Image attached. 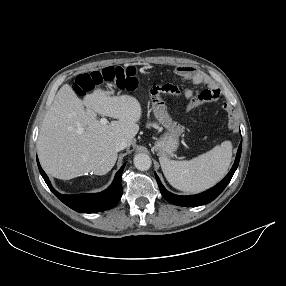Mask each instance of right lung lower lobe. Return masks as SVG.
Returning <instances> with one entry per match:
<instances>
[{
    "label": "right lung lower lobe",
    "mask_w": 286,
    "mask_h": 286,
    "mask_svg": "<svg viewBox=\"0 0 286 286\" xmlns=\"http://www.w3.org/2000/svg\"><path fill=\"white\" fill-rule=\"evenodd\" d=\"M39 171L46 184L54 195L71 209L80 213H93L113 208L121 199L123 190L121 185V175L124 165L116 173L113 183L105 191L95 194L62 195L51 185L49 178L41 168L37 159Z\"/></svg>",
    "instance_id": "obj_1"
}]
</instances>
